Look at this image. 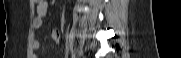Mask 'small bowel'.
I'll list each match as a JSON object with an SVG mask.
<instances>
[{"mask_svg":"<svg viewBox=\"0 0 181 58\" xmlns=\"http://www.w3.org/2000/svg\"><path fill=\"white\" fill-rule=\"evenodd\" d=\"M47 1L39 0L37 2V16L33 20V28L34 30H39L44 24V17L47 12ZM52 39L56 42L60 39V34L57 31L52 33ZM33 50L38 51L40 49V42L38 40H34L33 42Z\"/></svg>","mask_w":181,"mask_h":58,"instance_id":"obj_1","label":"small bowel"}]
</instances>
